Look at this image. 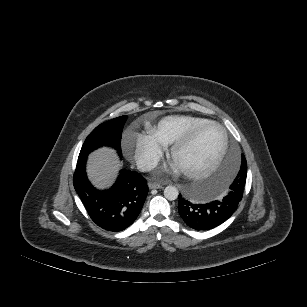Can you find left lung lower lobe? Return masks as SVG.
<instances>
[{
	"label": "left lung lower lobe",
	"mask_w": 307,
	"mask_h": 307,
	"mask_svg": "<svg viewBox=\"0 0 307 307\" xmlns=\"http://www.w3.org/2000/svg\"><path fill=\"white\" fill-rule=\"evenodd\" d=\"M242 157L243 159L245 158L243 155ZM242 196L243 192L237 189V187L230 189L227 195L220 201H212L204 204L196 203L179 195L178 211L189 227L198 231L210 230L231 217L241 201Z\"/></svg>",
	"instance_id": "1"
}]
</instances>
